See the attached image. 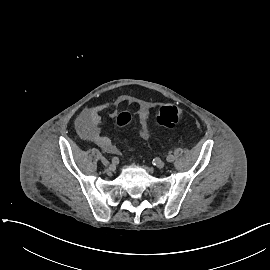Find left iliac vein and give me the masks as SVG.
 Masks as SVG:
<instances>
[{
  "mask_svg": "<svg viewBox=\"0 0 270 270\" xmlns=\"http://www.w3.org/2000/svg\"><path fill=\"white\" fill-rule=\"evenodd\" d=\"M156 166H157V168L162 169L165 166V162L164 161H159V162H157Z\"/></svg>",
  "mask_w": 270,
  "mask_h": 270,
  "instance_id": "obj_1",
  "label": "left iliac vein"
}]
</instances>
